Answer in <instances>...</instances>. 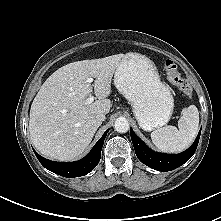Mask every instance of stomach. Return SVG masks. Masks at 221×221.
I'll return each instance as SVG.
<instances>
[{
  "label": "stomach",
  "instance_id": "1",
  "mask_svg": "<svg viewBox=\"0 0 221 221\" xmlns=\"http://www.w3.org/2000/svg\"><path fill=\"white\" fill-rule=\"evenodd\" d=\"M114 84L130 102L143 130L151 131L169 122L174 99L148 57L132 52L125 54L115 70Z\"/></svg>",
  "mask_w": 221,
  "mask_h": 221
}]
</instances>
